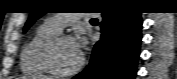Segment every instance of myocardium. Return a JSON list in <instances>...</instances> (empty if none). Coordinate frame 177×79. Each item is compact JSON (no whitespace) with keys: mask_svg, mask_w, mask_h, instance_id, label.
Masks as SVG:
<instances>
[{"mask_svg":"<svg viewBox=\"0 0 177 79\" xmlns=\"http://www.w3.org/2000/svg\"><path fill=\"white\" fill-rule=\"evenodd\" d=\"M64 40H71L75 42V38L71 35L58 34L57 36L49 39L43 44V46L40 49L39 57L42 65L49 73L57 76L67 77L76 74L82 69L84 65V57L81 54L79 64L73 69L63 71L57 68V66L53 62V51Z\"/></svg>","mask_w":177,"mask_h":79,"instance_id":"f54148a6","label":"myocardium"}]
</instances>
